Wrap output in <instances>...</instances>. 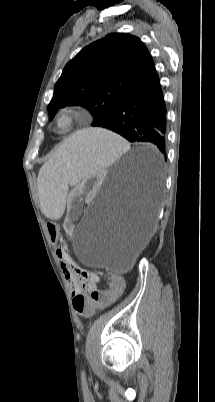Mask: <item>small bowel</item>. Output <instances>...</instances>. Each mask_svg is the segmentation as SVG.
<instances>
[{"label":"small bowel","instance_id":"obj_1","mask_svg":"<svg viewBox=\"0 0 215 402\" xmlns=\"http://www.w3.org/2000/svg\"><path fill=\"white\" fill-rule=\"evenodd\" d=\"M57 255L60 260L64 261L68 259L65 250L61 247L57 248ZM66 279L75 297L78 295H86L90 290L96 289V284L99 281V277L96 274L89 279H84L71 271L66 272Z\"/></svg>","mask_w":215,"mask_h":402}]
</instances>
